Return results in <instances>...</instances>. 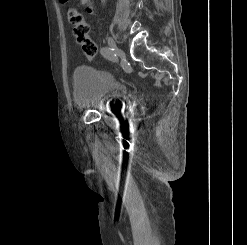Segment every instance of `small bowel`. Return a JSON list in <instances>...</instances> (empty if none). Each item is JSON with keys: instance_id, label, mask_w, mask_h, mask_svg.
Returning <instances> with one entry per match:
<instances>
[{"instance_id": "obj_1", "label": "small bowel", "mask_w": 247, "mask_h": 245, "mask_svg": "<svg viewBox=\"0 0 247 245\" xmlns=\"http://www.w3.org/2000/svg\"><path fill=\"white\" fill-rule=\"evenodd\" d=\"M79 1H80L81 4L86 5L87 11L89 13L93 12L92 6L90 5L89 1H87V2H82L81 0H79Z\"/></svg>"}]
</instances>
